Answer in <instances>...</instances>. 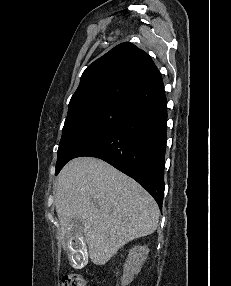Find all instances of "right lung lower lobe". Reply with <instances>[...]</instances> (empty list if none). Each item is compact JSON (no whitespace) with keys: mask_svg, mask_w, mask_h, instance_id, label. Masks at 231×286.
I'll return each instance as SVG.
<instances>
[{"mask_svg":"<svg viewBox=\"0 0 231 286\" xmlns=\"http://www.w3.org/2000/svg\"><path fill=\"white\" fill-rule=\"evenodd\" d=\"M75 157L100 158L141 184L162 208L167 108L163 82Z\"/></svg>","mask_w":231,"mask_h":286,"instance_id":"obj_1","label":"right lung lower lobe"}]
</instances>
